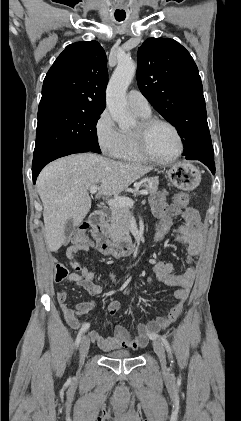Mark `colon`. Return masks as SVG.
<instances>
[{
    "mask_svg": "<svg viewBox=\"0 0 241 421\" xmlns=\"http://www.w3.org/2000/svg\"><path fill=\"white\" fill-rule=\"evenodd\" d=\"M190 201V195L188 193H179L174 196L173 202L174 205L179 207H185ZM173 226V219L171 217H164L160 220L159 224L156 227L153 242L155 244L161 243L170 233ZM89 229V224L87 222H82L77 229L72 234V242L75 246L89 244V239L87 236V231ZM69 275L68 269L63 264L56 265L55 279L56 281H62L66 279ZM151 277L147 278V281H151Z\"/></svg>",
    "mask_w": 241,
    "mask_h": 421,
    "instance_id": "5ec220e1",
    "label": "colon"
}]
</instances>
